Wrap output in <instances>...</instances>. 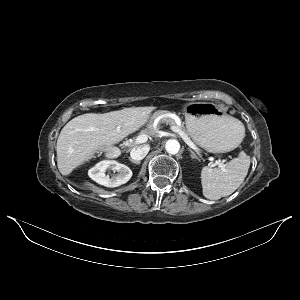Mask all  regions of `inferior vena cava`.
<instances>
[{"label": "inferior vena cava", "mask_w": 300, "mask_h": 300, "mask_svg": "<svg viewBox=\"0 0 300 300\" xmlns=\"http://www.w3.org/2000/svg\"><path fill=\"white\" fill-rule=\"evenodd\" d=\"M149 150H150L149 145L138 146L131 150L130 156L133 160L140 161L145 158V156L148 154Z\"/></svg>", "instance_id": "inferior-vena-cava-1"}]
</instances>
